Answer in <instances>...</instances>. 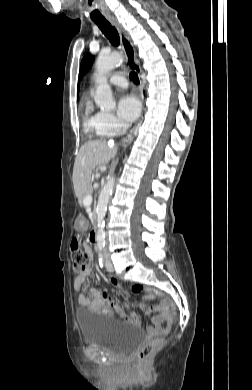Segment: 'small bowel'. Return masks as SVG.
<instances>
[{"label":"small bowel","mask_w":252,"mask_h":390,"mask_svg":"<svg viewBox=\"0 0 252 390\" xmlns=\"http://www.w3.org/2000/svg\"><path fill=\"white\" fill-rule=\"evenodd\" d=\"M84 247L91 253V248L87 243L84 244ZM90 273L91 270L87 269L75 276L73 281V288L75 291L81 292L83 290ZM112 282L118 284L117 280L114 278L110 279V283ZM146 299L150 300L153 299V297L147 296ZM78 303L80 306L94 314L111 316L113 311H116L120 318L126 323L138 325L141 322L140 315L136 311L126 314L109 295L94 288L89 289L87 292H81L78 297ZM140 309L147 314L155 313L152 317V326L147 329L150 336H158L168 332L172 324V318L166 309L165 303L152 307L140 305Z\"/></svg>","instance_id":"1"}]
</instances>
